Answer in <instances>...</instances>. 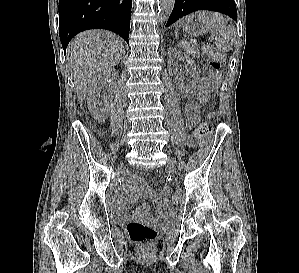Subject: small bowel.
Masks as SVG:
<instances>
[{
    "mask_svg": "<svg viewBox=\"0 0 299 273\" xmlns=\"http://www.w3.org/2000/svg\"><path fill=\"white\" fill-rule=\"evenodd\" d=\"M186 113H187V120L189 126H194L198 118L194 113L192 112L191 103H188L186 107ZM170 194V188L168 186H164L160 192L154 193L143 181L140 177L135 176L132 178L130 182V186L128 189L123 190L120 193L119 196V208L120 212L124 216L129 215L128 207L127 205L129 203H132L139 199L142 196H148L151 197L157 206V216L159 219L162 220H169L173 218L174 211L169 208L168 206V199ZM135 218H145V219H151L150 217V208L148 205H141L138 207L134 214Z\"/></svg>",
    "mask_w": 299,
    "mask_h": 273,
    "instance_id": "c3829d8e",
    "label": "small bowel"
}]
</instances>
